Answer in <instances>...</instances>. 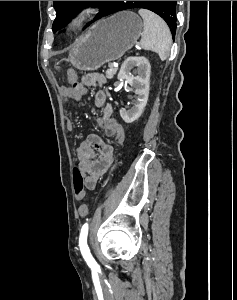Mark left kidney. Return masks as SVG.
<instances>
[{"mask_svg": "<svg viewBox=\"0 0 237 300\" xmlns=\"http://www.w3.org/2000/svg\"><path fill=\"white\" fill-rule=\"evenodd\" d=\"M137 67V75L133 77L130 71ZM150 69L151 65L146 57H128L124 61L119 73L118 79H128L129 85L135 91V105L126 111V109H120V117H122L125 123H133L141 117L148 101L149 97V81H150Z\"/></svg>", "mask_w": 237, "mask_h": 300, "instance_id": "left-kidney-1", "label": "left kidney"}]
</instances>
